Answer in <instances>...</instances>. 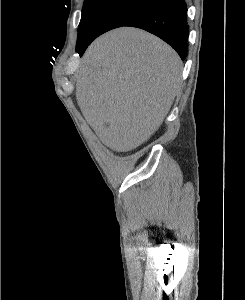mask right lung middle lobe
<instances>
[{
  "label": "right lung middle lobe",
  "mask_w": 245,
  "mask_h": 300,
  "mask_svg": "<svg viewBox=\"0 0 245 300\" xmlns=\"http://www.w3.org/2000/svg\"><path fill=\"white\" fill-rule=\"evenodd\" d=\"M158 2L156 0H85L78 28L77 47L88 46L104 32L125 26Z\"/></svg>",
  "instance_id": "1"
}]
</instances>
